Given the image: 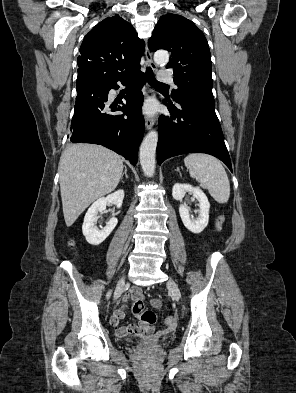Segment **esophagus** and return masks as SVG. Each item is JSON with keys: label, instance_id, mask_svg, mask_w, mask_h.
<instances>
[{"label": "esophagus", "instance_id": "obj_1", "mask_svg": "<svg viewBox=\"0 0 296 393\" xmlns=\"http://www.w3.org/2000/svg\"><path fill=\"white\" fill-rule=\"evenodd\" d=\"M145 58H146L148 66L151 67L152 70H156L157 66L152 59V54H151L147 45L145 48ZM154 124H155L154 118L148 117V116L145 117V126H146L147 130H150L154 126Z\"/></svg>", "mask_w": 296, "mask_h": 393}]
</instances>
